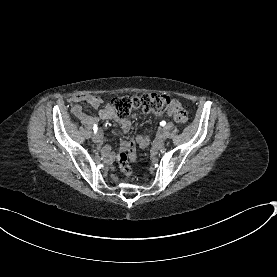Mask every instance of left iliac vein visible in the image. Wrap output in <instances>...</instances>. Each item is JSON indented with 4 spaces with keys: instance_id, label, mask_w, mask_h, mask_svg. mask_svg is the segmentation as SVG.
Masks as SVG:
<instances>
[{
    "instance_id": "obj_1",
    "label": "left iliac vein",
    "mask_w": 277,
    "mask_h": 277,
    "mask_svg": "<svg viewBox=\"0 0 277 277\" xmlns=\"http://www.w3.org/2000/svg\"><path fill=\"white\" fill-rule=\"evenodd\" d=\"M159 139H160L161 142H163V141L166 140V135H165L164 132H162V133L160 134Z\"/></svg>"
}]
</instances>
